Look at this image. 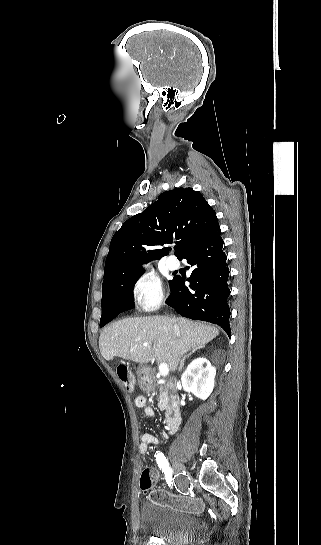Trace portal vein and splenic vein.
Returning a JSON list of instances; mask_svg holds the SVG:
<instances>
[{
	"mask_svg": "<svg viewBox=\"0 0 321 545\" xmlns=\"http://www.w3.org/2000/svg\"><path fill=\"white\" fill-rule=\"evenodd\" d=\"M147 345L148 343H144L143 347H147ZM159 373L162 375V377H166V375H168L169 369L166 363H161V365H159Z\"/></svg>",
	"mask_w": 321,
	"mask_h": 545,
	"instance_id": "18ae733b",
	"label": "portal vein and splenic vein"
}]
</instances>
